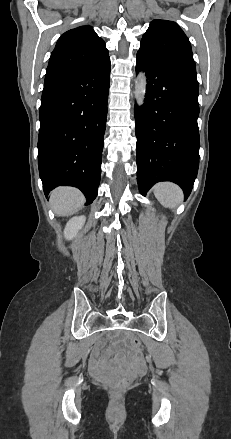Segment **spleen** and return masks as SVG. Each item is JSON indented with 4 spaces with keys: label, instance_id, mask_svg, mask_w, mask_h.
<instances>
[{
    "label": "spleen",
    "instance_id": "3e777b00",
    "mask_svg": "<svg viewBox=\"0 0 231 439\" xmlns=\"http://www.w3.org/2000/svg\"><path fill=\"white\" fill-rule=\"evenodd\" d=\"M153 192L157 200L164 206L170 209L177 207L183 199V192L181 188L170 182L157 183Z\"/></svg>",
    "mask_w": 231,
    "mask_h": 439
}]
</instances>
